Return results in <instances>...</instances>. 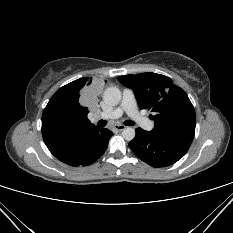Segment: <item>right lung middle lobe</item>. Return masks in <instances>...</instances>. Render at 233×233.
Returning <instances> with one entry per match:
<instances>
[{
    "mask_svg": "<svg viewBox=\"0 0 233 233\" xmlns=\"http://www.w3.org/2000/svg\"><path fill=\"white\" fill-rule=\"evenodd\" d=\"M43 115L47 118L57 119L62 115V107L56 104H52L48 108L44 109Z\"/></svg>",
    "mask_w": 233,
    "mask_h": 233,
    "instance_id": "1",
    "label": "right lung middle lobe"
}]
</instances>
